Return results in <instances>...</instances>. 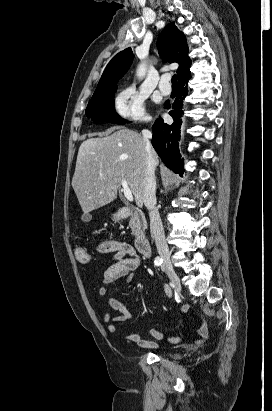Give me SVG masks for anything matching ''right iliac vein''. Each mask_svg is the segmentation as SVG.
Returning a JSON list of instances; mask_svg holds the SVG:
<instances>
[{"instance_id": "right-iliac-vein-1", "label": "right iliac vein", "mask_w": 272, "mask_h": 411, "mask_svg": "<svg viewBox=\"0 0 272 411\" xmlns=\"http://www.w3.org/2000/svg\"><path fill=\"white\" fill-rule=\"evenodd\" d=\"M162 266H163L166 274L168 275L169 279L171 280L173 286L175 287V289L177 291H180L181 290V283H180L179 277L176 274V272H175L174 268L172 267V265L169 262H164Z\"/></svg>"}]
</instances>
